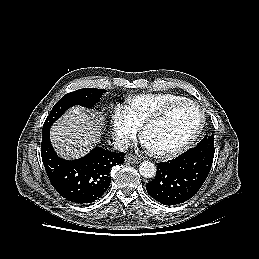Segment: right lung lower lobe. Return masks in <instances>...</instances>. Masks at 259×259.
Segmentation results:
<instances>
[{
  "label": "right lung lower lobe",
  "mask_w": 259,
  "mask_h": 259,
  "mask_svg": "<svg viewBox=\"0 0 259 259\" xmlns=\"http://www.w3.org/2000/svg\"><path fill=\"white\" fill-rule=\"evenodd\" d=\"M49 131H42L41 156L53 187L74 203L86 204L99 199L109 188L112 167L124 162V153L96 147L80 159L64 160L55 153Z\"/></svg>",
  "instance_id": "1"
}]
</instances>
